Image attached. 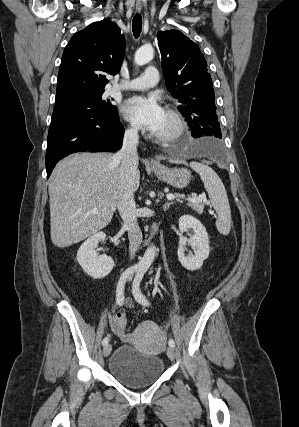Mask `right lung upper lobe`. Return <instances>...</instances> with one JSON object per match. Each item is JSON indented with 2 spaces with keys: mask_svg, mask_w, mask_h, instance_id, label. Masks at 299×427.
<instances>
[{
  "mask_svg": "<svg viewBox=\"0 0 299 427\" xmlns=\"http://www.w3.org/2000/svg\"><path fill=\"white\" fill-rule=\"evenodd\" d=\"M124 50V36L109 20L75 33L62 55L55 102L104 91L108 83L105 74L120 71Z\"/></svg>",
  "mask_w": 299,
  "mask_h": 427,
  "instance_id": "1",
  "label": "right lung upper lobe"
}]
</instances>
